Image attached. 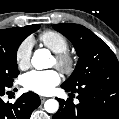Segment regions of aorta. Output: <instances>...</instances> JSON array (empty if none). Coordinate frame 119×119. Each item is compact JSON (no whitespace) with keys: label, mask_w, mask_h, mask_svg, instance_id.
Returning <instances> with one entry per match:
<instances>
[{"label":"aorta","mask_w":119,"mask_h":119,"mask_svg":"<svg viewBox=\"0 0 119 119\" xmlns=\"http://www.w3.org/2000/svg\"><path fill=\"white\" fill-rule=\"evenodd\" d=\"M50 51L47 49H37L32 57V65L38 70L48 68V61L50 59ZM44 108L48 113H55L59 108V103L55 99H49L45 102Z\"/></svg>","instance_id":"aorta-1"}]
</instances>
